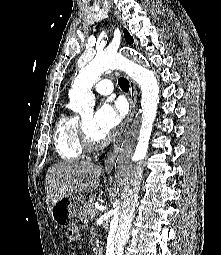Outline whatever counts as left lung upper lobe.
Masks as SVG:
<instances>
[{
	"instance_id": "left-lung-upper-lobe-1",
	"label": "left lung upper lobe",
	"mask_w": 221,
	"mask_h": 255,
	"mask_svg": "<svg viewBox=\"0 0 221 255\" xmlns=\"http://www.w3.org/2000/svg\"><path fill=\"white\" fill-rule=\"evenodd\" d=\"M124 37L128 43L130 44L133 43V38L130 36L126 29H124Z\"/></svg>"
}]
</instances>
